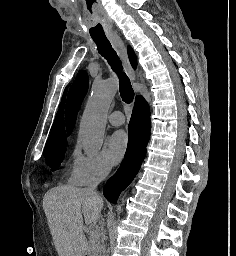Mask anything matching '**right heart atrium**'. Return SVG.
I'll list each match as a JSON object with an SVG mask.
<instances>
[{
	"label": "right heart atrium",
	"mask_w": 236,
	"mask_h": 256,
	"mask_svg": "<svg viewBox=\"0 0 236 256\" xmlns=\"http://www.w3.org/2000/svg\"><path fill=\"white\" fill-rule=\"evenodd\" d=\"M112 171V163L102 153L88 155L76 145L72 153L68 182L74 186H90L105 180Z\"/></svg>",
	"instance_id": "1"
}]
</instances>
